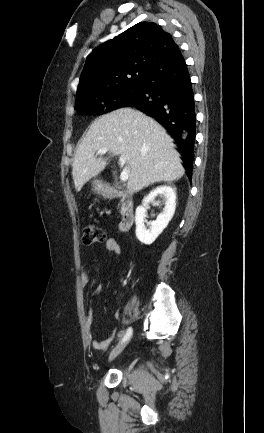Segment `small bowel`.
Listing matches in <instances>:
<instances>
[{
  "label": "small bowel",
  "mask_w": 264,
  "mask_h": 433,
  "mask_svg": "<svg viewBox=\"0 0 264 433\" xmlns=\"http://www.w3.org/2000/svg\"><path fill=\"white\" fill-rule=\"evenodd\" d=\"M105 247L106 249L116 255H119L121 253V246L119 245V243L113 239V238H109L106 240L105 242ZM80 281L82 283L83 286H86L89 282H90V275L89 273L86 271L85 266H83L81 274H80ZM103 290L102 286H99L97 288V293H101ZM93 323V316L92 313L89 312L86 316V324L88 327H91ZM118 334L117 329H113L110 334L109 337L105 340L102 341H92V347L96 350H105L107 349L110 344L114 341V339L116 338Z\"/></svg>",
  "instance_id": "obj_1"
}]
</instances>
